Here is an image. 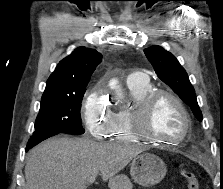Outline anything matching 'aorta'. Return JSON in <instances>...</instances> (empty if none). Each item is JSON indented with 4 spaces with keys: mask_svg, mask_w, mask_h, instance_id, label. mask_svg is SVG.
<instances>
[{
    "mask_svg": "<svg viewBox=\"0 0 223 189\" xmlns=\"http://www.w3.org/2000/svg\"><path fill=\"white\" fill-rule=\"evenodd\" d=\"M109 86H110L111 89L116 90L118 98L122 97V93H121V90H120V86L118 85V80L117 79H112L109 82Z\"/></svg>",
    "mask_w": 223,
    "mask_h": 189,
    "instance_id": "1",
    "label": "aorta"
}]
</instances>
